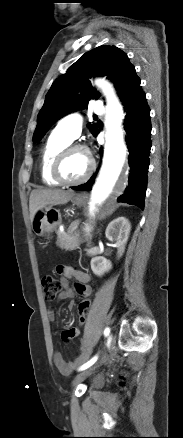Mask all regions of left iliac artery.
Segmentation results:
<instances>
[{"label":"left iliac artery","mask_w":183,"mask_h":438,"mask_svg":"<svg viewBox=\"0 0 183 438\" xmlns=\"http://www.w3.org/2000/svg\"><path fill=\"white\" fill-rule=\"evenodd\" d=\"M110 333V328L107 327L104 330V335L107 337ZM98 359V355H95L92 359H90L88 362H86L85 364H83L78 370L79 371H83L87 368H89L90 366H92Z\"/></svg>","instance_id":"left-iliac-artery-1"}]
</instances>
